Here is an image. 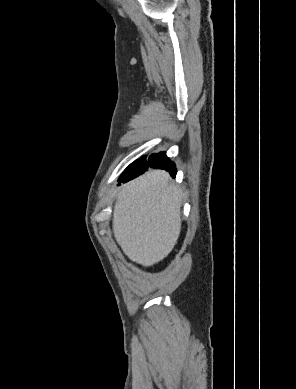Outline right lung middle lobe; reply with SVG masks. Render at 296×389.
Returning <instances> with one entry per match:
<instances>
[{
  "instance_id": "right-lung-middle-lobe-1",
  "label": "right lung middle lobe",
  "mask_w": 296,
  "mask_h": 389,
  "mask_svg": "<svg viewBox=\"0 0 296 389\" xmlns=\"http://www.w3.org/2000/svg\"><path fill=\"white\" fill-rule=\"evenodd\" d=\"M148 164V161H146L145 157H142L141 159L133 162L128 168H144Z\"/></svg>"
}]
</instances>
